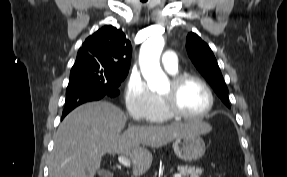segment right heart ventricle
<instances>
[{"label":"right heart ventricle","mask_w":287,"mask_h":177,"mask_svg":"<svg viewBox=\"0 0 287 177\" xmlns=\"http://www.w3.org/2000/svg\"><path fill=\"white\" fill-rule=\"evenodd\" d=\"M170 74L177 75L178 71L172 72ZM169 119H170V116L164 108L162 99L159 96H156V108L150 120L156 123H164V122H167Z\"/></svg>","instance_id":"right-heart-ventricle-1"}]
</instances>
